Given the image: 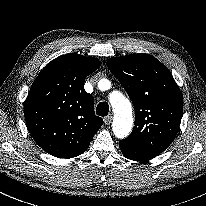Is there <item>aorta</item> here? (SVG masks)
Wrapping results in <instances>:
<instances>
[{
    "mask_svg": "<svg viewBox=\"0 0 206 206\" xmlns=\"http://www.w3.org/2000/svg\"><path fill=\"white\" fill-rule=\"evenodd\" d=\"M109 99L114 112L113 133L119 139L126 138L133 126L131 103L124 95L116 91L112 92Z\"/></svg>",
    "mask_w": 206,
    "mask_h": 206,
    "instance_id": "aorta-1",
    "label": "aorta"
}]
</instances>
